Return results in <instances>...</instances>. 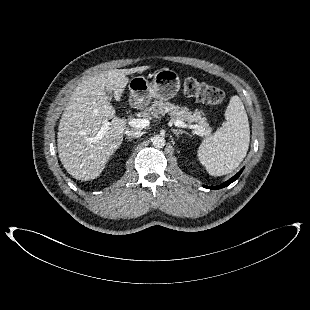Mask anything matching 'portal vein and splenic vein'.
<instances>
[{"label": "portal vein and splenic vein", "instance_id": "portal-vein-and-splenic-vein-1", "mask_svg": "<svg viewBox=\"0 0 310 310\" xmlns=\"http://www.w3.org/2000/svg\"><path fill=\"white\" fill-rule=\"evenodd\" d=\"M128 124L133 128L139 129V128H144V127L148 126L149 120L142 119V118H134V119L129 120ZM174 124L176 127L195 129L197 135H200V136L202 135L198 125H188V124H185L183 121H180V120H176L174 122ZM107 129H108L107 126L102 127L101 130L98 132L96 139H101L104 136V134L106 133Z\"/></svg>", "mask_w": 310, "mask_h": 310}]
</instances>
